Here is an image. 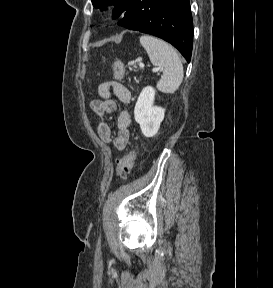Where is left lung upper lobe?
Wrapping results in <instances>:
<instances>
[{"mask_svg":"<svg viewBox=\"0 0 273 288\" xmlns=\"http://www.w3.org/2000/svg\"><path fill=\"white\" fill-rule=\"evenodd\" d=\"M134 0H92V4L95 8H100L103 10L108 5H116L114 9V18H117L121 13L126 10L128 11Z\"/></svg>","mask_w":273,"mask_h":288,"instance_id":"left-lung-upper-lobe-1","label":"left lung upper lobe"}]
</instances>
